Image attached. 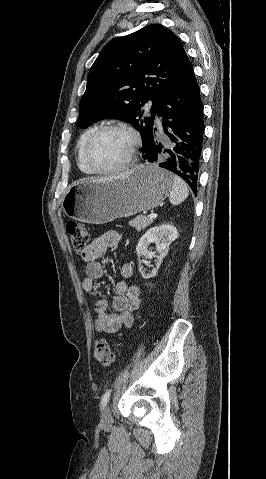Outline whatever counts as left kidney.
<instances>
[{"mask_svg":"<svg viewBox=\"0 0 266 479\" xmlns=\"http://www.w3.org/2000/svg\"><path fill=\"white\" fill-rule=\"evenodd\" d=\"M177 229L171 224H164L150 228L139 240L136 246L138 256L146 258L156 257L155 267L151 272H145L139 265V271L144 279L154 277L160 268L163 258L168 254L170 244L177 239ZM156 243L158 255L147 250L151 243Z\"/></svg>","mask_w":266,"mask_h":479,"instance_id":"5707ae66","label":"left kidney"}]
</instances>
